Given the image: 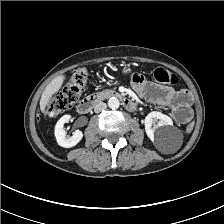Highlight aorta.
Returning <instances> with one entry per match:
<instances>
[{
    "instance_id": "1",
    "label": "aorta",
    "mask_w": 224,
    "mask_h": 224,
    "mask_svg": "<svg viewBox=\"0 0 224 224\" xmlns=\"http://www.w3.org/2000/svg\"><path fill=\"white\" fill-rule=\"evenodd\" d=\"M108 106H109L111 109H117V108H119V106H120V102H119V100H118L116 97H111V98L108 100Z\"/></svg>"
}]
</instances>
